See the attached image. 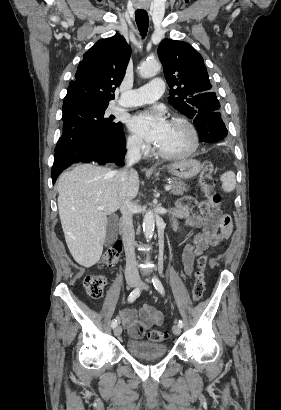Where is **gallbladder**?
<instances>
[{
  "label": "gallbladder",
  "mask_w": 281,
  "mask_h": 410,
  "mask_svg": "<svg viewBox=\"0 0 281 410\" xmlns=\"http://www.w3.org/2000/svg\"><path fill=\"white\" fill-rule=\"evenodd\" d=\"M116 238V231L115 229L111 228L110 225L107 227L105 243L106 245L111 244Z\"/></svg>",
  "instance_id": "obj_1"
}]
</instances>
